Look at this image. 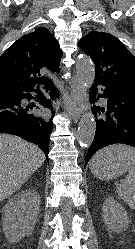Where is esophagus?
<instances>
[{"instance_id":"obj_1","label":"esophagus","mask_w":135,"mask_h":249,"mask_svg":"<svg viewBox=\"0 0 135 249\" xmlns=\"http://www.w3.org/2000/svg\"><path fill=\"white\" fill-rule=\"evenodd\" d=\"M69 84L71 94L66 111L72 120L77 122L84 109L85 89L76 77L72 78Z\"/></svg>"}]
</instances>
